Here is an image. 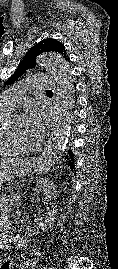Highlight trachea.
I'll return each mask as SVG.
<instances>
[{"instance_id": "3493384b", "label": "trachea", "mask_w": 118, "mask_h": 269, "mask_svg": "<svg viewBox=\"0 0 118 269\" xmlns=\"http://www.w3.org/2000/svg\"><path fill=\"white\" fill-rule=\"evenodd\" d=\"M46 92H52L51 90H47Z\"/></svg>"}]
</instances>
